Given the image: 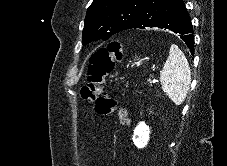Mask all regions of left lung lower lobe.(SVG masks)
I'll use <instances>...</instances> for the list:
<instances>
[{
	"instance_id": "1",
	"label": "left lung lower lobe",
	"mask_w": 227,
	"mask_h": 166,
	"mask_svg": "<svg viewBox=\"0 0 227 166\" xmlns=\"http://www.w3.org/2000/svg\"><path fill=\"white\" fill-rule=\"evenodd\" d=\"M165 28L179 33L191 54L194 36L190 17L183 0H147L131 29Z\"/></svg>"
}]
</instances>
